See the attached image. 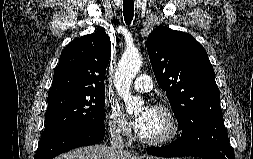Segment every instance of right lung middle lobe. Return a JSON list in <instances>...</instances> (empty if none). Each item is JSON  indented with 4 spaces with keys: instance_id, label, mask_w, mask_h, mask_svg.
<instances>
[{
    "instance_id": "1",
    "label": "right lung middle lobe",
    "mask_w": 253,
    "mask_h": 159,
    "mask_svg": "<svg viewBox=\"0 0 253 159\" xmlns=\"http://www.w3.org/2000/svg\"><path fill=\"white\" fill-rule=\"evenodd\" d=\"M105 90L48 98L46 126L39 145L77 127L104 125Z\"/></svg>"
}]
</instances>
